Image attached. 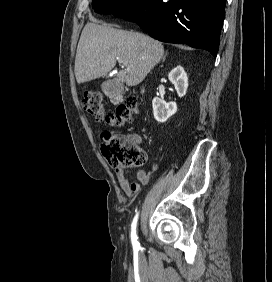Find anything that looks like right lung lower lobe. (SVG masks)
<instances>
[{
  "label": "right lung lower lobe",
  "mask_w": 272,
  "mask_h": 282,
  "mask_svg": "<svg viewBox=\"0 0 272 282\" xmlns=\"http://www.w3.org/2000/svg\"><path fill=\"white\" fill-rule=\"evenodd\" d=\"M225 3L226 0H139L113 15L136 22L157 40L185 43L216 57Z\"/></svg>",
  "instance_id": "right-lung-lower-lobe-1"
}]
</instances>
